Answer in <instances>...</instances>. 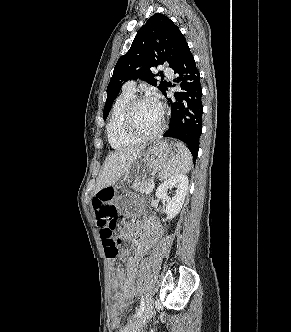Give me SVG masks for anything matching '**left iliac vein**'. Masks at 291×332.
Returning a JSON list of instances; mask_svg holds the SVG:
<instances>
[{"label":"left iliac vein","mask_w":291,"mask_h":332,"mask_svg":"<svg viewBox=\"0 0 291 332\" xmlns=\"http://www.w3.org/2000/svg\"><path fill=\"white\" fill-rule=\"evenodd\" d=\"M153 307L154 300L149 298L142 314L135 321L124 327L121 332H138L149 321Z\"/></svg>","instance_id":"1"}]
</instances>
